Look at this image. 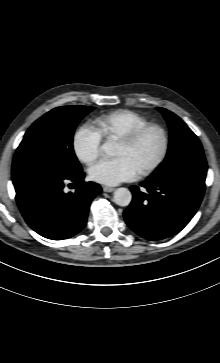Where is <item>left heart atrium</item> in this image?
Wrapping results in <instances>:
<instances>
[{
  "mask_svg": "<svg viewBox=\"0 0 220 363\" xmlns=\"http://www.w3.org/2000/svg\"><path fill=\"white\" fill-rule=\"evenodd\" d=\"M138 173L139 171L131 162L122 156L101 160L89 170V176L92 180L108 185L132 180Z\"/></svg>",
  "mask_w": 220,
  "mask_h": 363,
  "instance_id": "obj_1",
  "label": "left heart atrium"
}]
</instances>
